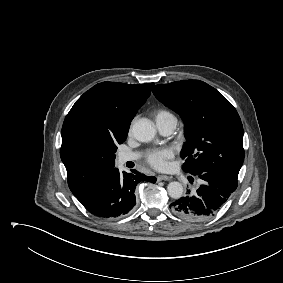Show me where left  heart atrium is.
I'll return each instance as SVG.
<instances>
[{"mask_svg":"<svg viewBox=\"0 0 283 283\" xmlns=\"http://www.w3.org/2000/svg\"><path fill=\"white\" fill-rule=\"evenodd\" d=\"M173 157V152L170 149H159L151 151L147 156V162L156 169H165L168 160Z\"/></svg>","mask_w":283,"mask_h":283,"instance_id":"39dd6f15","label":"left heart atrium"}]
</instances>
